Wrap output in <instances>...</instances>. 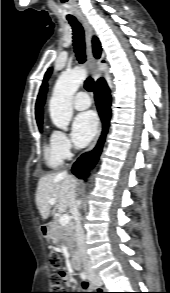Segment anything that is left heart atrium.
I'll use <instances>...</instances> for the list:
<instances>
[{
	"label": "left heart atrium",
	"instance_id": "left-heart-atrium-1",
	"mask_svg": "<svg viewBox=\"0 0 170 293\" xmlns=\"http://www.w3.org/2000/svg\"><path fill=\"white\" fill-rule=\"evenodd\" d=\"M97 117L91 112L78 114L72 122V139L78 147L86 146L97 131Z\"/></svg>",
	"mask_w": 170,
	"mask_h": 293
}]
</instances>
